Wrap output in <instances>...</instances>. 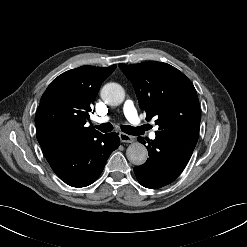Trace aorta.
I'll return each instance as SVG.
<instances>
[{
  "mask_svg": "<svg viewBox=\"0 0 247 247\" xmlns=\"http://www.w3.org/2000/svg\"><path fill=\"white\" fill-rule=\"evenodd\" d=\"M100 96L106 104L117 106L124 101L125 91L120 84L112 82L103 86ZM126 156L132 164L139 166L146 162L148 151L143 144L135 142L128 146Z\"/></svg>",
  "mask_w": 247,
  "mask_h": 247,
  "instance_id": "762f6f07",
  "label": "aorta"
}]
</instances>
